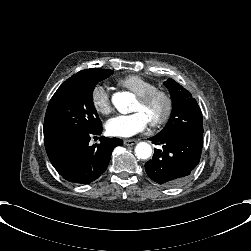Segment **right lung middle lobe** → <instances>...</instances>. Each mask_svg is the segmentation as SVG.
Masks as SVG:
<instances>
[{
	"mask_svg": "<svg viewBox=\"0 0 251 251\" xmlns=\"http://www.w3.org/2000/svg\"><path fill=\"white\" fill-rule=\"evenodd\" d=\"M113 74L112 70L91 68L67 79L51 98L44 119V142L75 132L102 128L95 106L96 84Z\"/></svg>",
	"mask_w": 251,
	"mask_h": 251,
	"instance_id": "1",
	"label": "right lung middle lobe"
}]
</instances>
